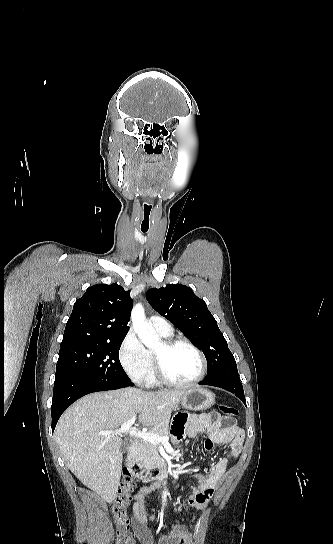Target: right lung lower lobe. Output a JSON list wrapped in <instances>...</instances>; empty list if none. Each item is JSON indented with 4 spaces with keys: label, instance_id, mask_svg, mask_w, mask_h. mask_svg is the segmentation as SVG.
<instances>
[{
    "label": "right lung lower lobe",
    "instance_id": "right-lung-lower-lobe-1",
    "mask_svg": "<svg viewBox=\"0 0 333 544\" xmlns=\"http://www.w3.org/2000/svg\"><path fill=\"white\" fill-rule=\"evenodd\" d=\"M133 386L129 383H115L107 380H93L74 373L56 374L51 406L52 431L61 414L80 397L98 391L115 390Z\"/></svg>",
    "mask_w": 333,
    "mask_h": 544
}]
</instances>
